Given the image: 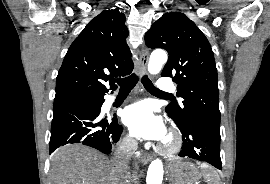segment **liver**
I'll return each mask as SVG.
<instances>
[{"mask_svg":"<svg viewBox=\"0 0 270 184\" xmlns=\"http://www.w3.org/2000/svg\"><path fill=\"white\" fill-rule=\"evenodd\" d=\"M121 172L98 151L69 144L52 156L50 184H119Z\"/></svg>","mask_w":270,"mask_h":184,"instance_id":"1","label":"liver"}]
</instances>
